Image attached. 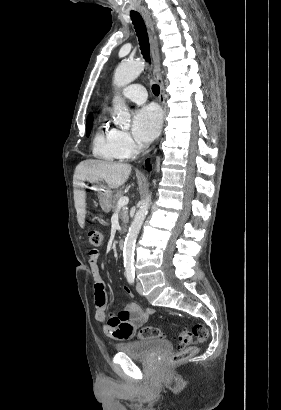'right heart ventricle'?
<instances>
[{"mask_svg":"<svg viewBox=\"0 0 281 410\" xmlns=\"http://www.w3.org/2000/svg\"><path fill=\"white\" fill-rule=\"evenodd\" d=\"M92 152L96 158L105 161H118L127 158L119 146L117 130L109 125L104 115L100 117L93 134Z\"/></svg>","mask_w":281,"mask_h":410,"instance_id":"right-heart-ventricle-1","label":"right heart ventricle"}]
</instances>
